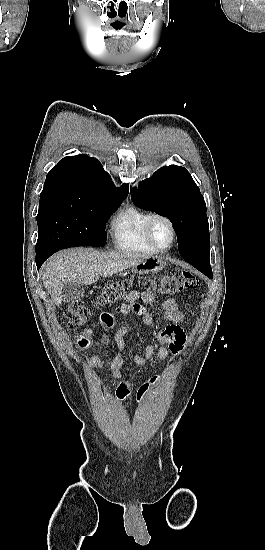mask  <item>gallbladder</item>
I'll list each match as a JSON object with an SVG mask.
<instances>
[{
	"label": "gallbladder",
	"mask_w": 265,
	"mask_h": 550,
	"mask_svg": "<svg viewBox=\"0 0 265 550\" xmlns=\"http://www.w3.org/2000/svg\"><path fill=\"white\" fill-rule=\"evenodd\" d=\"M62 294L66 303L73 304L83 298L85 290L83 285L72 282L64 285Z\"/></svg>",
	"instance_id": "gallbladder-1"
}]
</instances>
